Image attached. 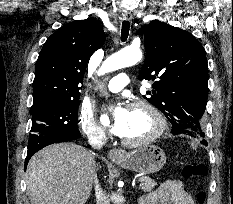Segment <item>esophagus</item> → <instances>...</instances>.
<instances>
[{
	"mask_svg": "<svg viewBox=\"0 0 233 204\" xmlns=\"http://www.w3.org/2000/svg\"><path fill=\"white\" fill-rule=\"evenodd\" d=\"M122 17L124 20H128V21H132L133 19L132 14L127 11L123 12ZM125 156H126V152L123 149H112L108 152V157L112 161H120L124 159Z\"/></svg>",
	"mask_w": 233,
	"mask_h": 204,
	"instance_id": "obj_1",
	"label": "esophagus"
}]
</instances>
